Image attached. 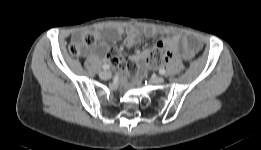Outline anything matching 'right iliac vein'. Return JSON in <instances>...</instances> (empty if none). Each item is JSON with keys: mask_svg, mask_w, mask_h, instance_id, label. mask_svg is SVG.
Segmentation results:
<instances>
[{"mask_svg": "<svg viewBox=\"0 0 261 150\" xmlns=\"http://www.w3.org/2000/svg\"><path fill=\"white\" fill-rule=\"evenodd\" d=\"M100 78L103 80H107L111 78V72L110 71H102L99 74Z\"/></svg>", "mask_w": 261, "mask_h": 150, "instance_id": "obj_1", "label": "right iliac vein"}]
</instances>
